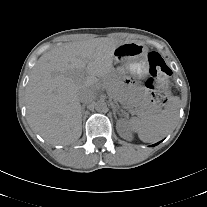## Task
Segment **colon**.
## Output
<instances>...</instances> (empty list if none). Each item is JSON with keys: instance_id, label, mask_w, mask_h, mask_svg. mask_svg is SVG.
I'll use <instances>...</instances> for the list:
<instances>
[{"instance_id": "obj_1", "label": "colon", "mask_w": 207, "mask_h": 207, "mask_svg": "<svg viewBox=\"0 0 207 207\" xmlns=\"http://www.w3.org/2000/svg\"><path fill=\"white\" fill-rule=\"evenodd\" d=\"M148 64L150 78L147 85L151 89V100L156 107L160 108L167 103L170 96L169 76L171 72L158 52L148 54Z\"/></svg>"}]
</instances>
